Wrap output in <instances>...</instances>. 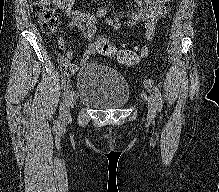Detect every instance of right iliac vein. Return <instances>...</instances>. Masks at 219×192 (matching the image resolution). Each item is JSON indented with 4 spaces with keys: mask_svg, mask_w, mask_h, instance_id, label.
Wrapping results in <instances>:
<instances>
[{
    "mask_svg": "<svg viewBox=\"0 0 219 192\" xmlns=\"http://www.w3.org/2000/svg\"><path fill=\"white\" fill-rule=\"evenodd\" d=\"M76 102V93L71 90V86L68 84L64 92V101L61 109V119L64 121L70 116V107Z\"/></svg>",
    "mask_w": 219,
    "mask_h": 192,
    "instance_id": "1",
    "label": "right iliac vein"
}]
</instances>
